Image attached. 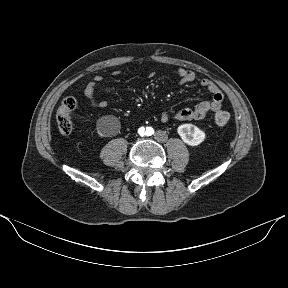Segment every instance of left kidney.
<instances>
[{
	"label": "left kidney",
	"instance_id": "5707ae66",
	"mask_svg": "<svg viewBox=\"0 0 288 288\" xmlns=\"http://www.w3.org/2000/svg\"><path fill=\"white\" fill-rule=\"evenodd\" d=\"M177 132L184 143L190 146H197L205 139V133L193 124H182Z\"/></svg>",
	"mask_w": 288,
	"mask_h": 288
}]
</instances>
